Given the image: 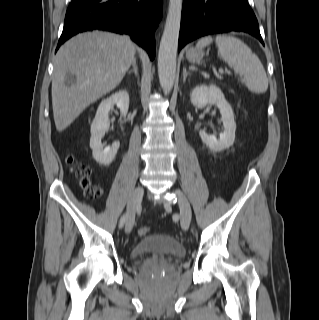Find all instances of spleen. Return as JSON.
Wrapping results in <instances>:
<instances>
[{"mask_svg": "<svg viewBox=\"0 0 319 320\" xmlns=\"http://www.w3.org/2000/svg\"><path fill=\"white\" fill-rule=\"evenodd\" d=\"M212 42L211 36H205L198 41L197 47L202 48ZM215 42L218 56L234 69L251 92L260 94L268 89V78L260 59L243 41L222 34L216 36Z\"/></svg>", "mask_w": 319, "mask_h": 320, "instance_id": "spleen-1", "label": "spleen"}]
</instances>
